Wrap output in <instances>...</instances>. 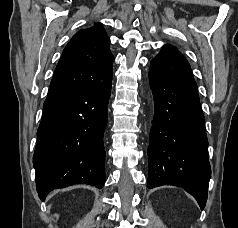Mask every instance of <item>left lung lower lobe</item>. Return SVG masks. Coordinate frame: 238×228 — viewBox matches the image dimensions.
Instances as JSON below:
<instances>
[{"label":"left lung lower lobe","mask_w":238,"mask_h":228,"mask_svg":"<svg viewBox=\"0 0 238 228\" xmlns=\"http://www.w3.org/2000/svg\"><path fill=\"white\" fill-rule=\"evenodd\" d=\"M149 81L155 113L147 187H183L203 209L211 168L205 119L191 67L180 52L163 47L151 61Z\"/></svg>","instance_id":"1"}]
</instances>
